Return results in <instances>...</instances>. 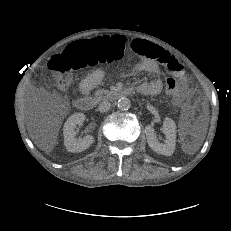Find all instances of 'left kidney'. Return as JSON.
Segmentation results:
<instances>
[{"instance_id":"5707ae66","label":"left kidney","mask_w":231,"mask_h":231,"mask_svg":"<svg viewBox=\"0 0 231 231\" xmlns=\"http://www.w3.org/2000/svg\"><path fill=\"white\" fill-rule=\"evenodd\" d=\"M162 132L166 136L164 143H160L156 140L153 126L147 125L145 127V134L149 147L157 154L170 156L175 150L176 143V124L171 118H165Z\"/></svg>"}]
</instances>
